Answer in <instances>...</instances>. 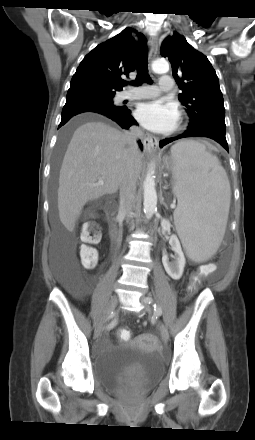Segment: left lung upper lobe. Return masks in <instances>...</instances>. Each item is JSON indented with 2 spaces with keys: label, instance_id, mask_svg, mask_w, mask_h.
I'll return each mask as SVG.
<instances>
[{
  "label": "left lung upper lobe",
  "instance_id": "5c2ea615",
  "mask_svg": "<svg viewBox=\"0 0 255 440\" xmlns=\"http://www.w3.org/2000/svg\"><path fill=\"white\" fill-rule=\"evenodd\" d=\"M160 52L169 58L173 76L182 90L179 100L190 117L189 126L215 124L226 128L219 80L207 57L178 33L164 39Z\"/></svg>",
  "mask_w": 255,
  "mask_h": 440
}]
</instances>
